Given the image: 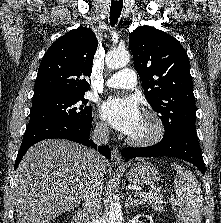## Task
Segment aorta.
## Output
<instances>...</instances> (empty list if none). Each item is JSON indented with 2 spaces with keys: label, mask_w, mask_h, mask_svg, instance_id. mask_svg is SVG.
<instances>
[{
  "label": "aorta",
  "mask_w": 221,
  "mask_h": 223,
  "mask_svg": "<svg viewBox=\"0 0 221 223\" xmlns=\"http://www.w3.org/2000/svg\"><path fill=\"white\" fill-rule=\"evenodd\" d=\"M130 61V54L126 50H112L106 55V66L109 69H118L126 66ZM122 206L118 201L111 203L108 213V223H122Z\"/></svg>",
  "instance_id": "aorta-1"
}]
</instances>
